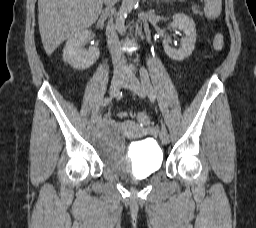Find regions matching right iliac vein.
I'll list each match as a JSON object with an SVG mask.
<instances>
[{
    "label": "right iliac vein",
    "mask_w": 256,
    "mask_h": 228,
    "mask_svg": "<svg viewBox=\"0 0 256 228\" xmlns=\"http://www.w3.org/2000/svg\"><path fill=\"white\" fill-rule=\"evenodd\" d=\"M124 81H125V78L121 74H116L113 76L110 89H109V93L111 96H115L118 94L120 88L124 84ZM103 125H104L103 121L98 122L96 125V130H100L103 127Z\"/></svg>",
    "instance_id": "63e3f726"
}]
</instances>
